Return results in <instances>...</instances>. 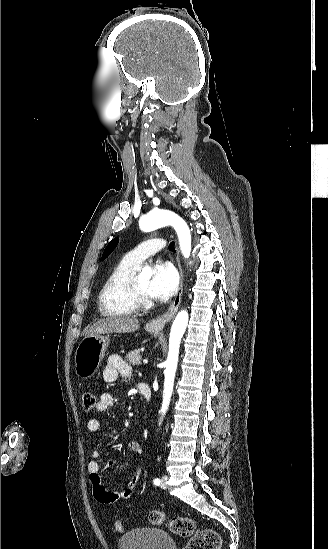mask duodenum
<instances>
[{
  "label": "duodenum",
  "mask_w": 328,
  "mask_h": 549,
  "mask_svg": "<svg viewBox=\"0 0 328 549\" xmlns=\"http://www.w3.org/2000/svg\"><path fill=\"white\" fill-rule=\"evenodd\" d=\"M138 389L147 401L151 399L152 393H151V388L148 384L141 382L138 384Z\"/></svg>",
  "instance_id": "410a0bca"
}]
</instances>
